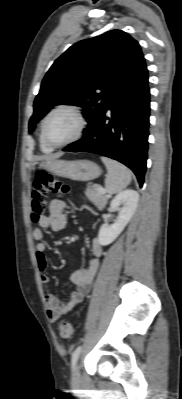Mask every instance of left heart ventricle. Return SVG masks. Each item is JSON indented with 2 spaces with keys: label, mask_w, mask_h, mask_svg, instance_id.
<instances>
[{
  "label": "left heart ventricle",
  "mask_w": 182,
  "mask_h": 399,
  "mask_svg": "<svg viewBox=\"0 0 182 399\" xmlns=\"http://www.w3.org/2000/svg\"><path fill=\"white\" fill-rule=\"evenodd\" d=\"M78 127V120L68 111L55 113L47 122L46 135L54 143H62L71 138Z\"/></svg>",
  "instance_id": "obj_1"
}]
</instances>
